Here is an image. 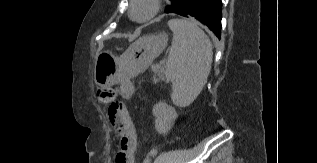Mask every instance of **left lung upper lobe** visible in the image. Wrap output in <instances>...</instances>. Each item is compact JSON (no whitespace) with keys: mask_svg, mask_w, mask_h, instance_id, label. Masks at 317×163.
Segmentation results:
<instances>
[{"mask_svg":"<svg viewBox=\"0 0 317 163\" xmlns=\"http://www.w3.org/2000/svg\"><path fill=\"white\" fill-rule=\"evenodd\" d=\"M170 1H171V4L168 5L165 10L166 13L173 12L177 8L181 0H170Z\"/></svg>","mask_w":317,"mask_h":163,"instance_id":"left-lung-upper-lobe-1","label":"left lung upper lobe"}]
</instances>
